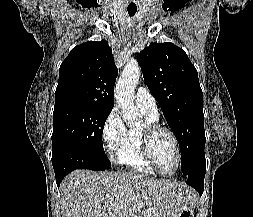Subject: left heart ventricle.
Returning <instances> with one entry per match:
<instances>
[{
	"instance_id": "obj_1",
	"label": "left heart ventricle",
	"mask_w": 253,
	"mask_h": 217,
	"mask_svg": "<svg viewBox=\"0 0 253 217\" xmlns=\"http://www.w3.org/2000/svg\"><path fill=\"white\" fill-rule=\"evenodd\" d=\"M152 154L160 169L171 172L176 166V150L170 136L159 133L152 141Z\"/></svg>"
}]
</instances>
